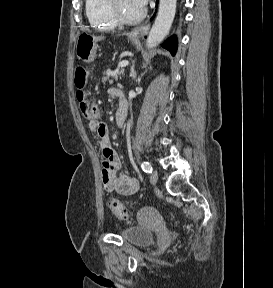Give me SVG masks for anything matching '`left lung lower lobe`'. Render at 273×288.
<instances>
[{"label": "left lung lower lobe", "mask_w": 273, "mask_h": 288, "mask_svg": "<svg viewBox=\"0 0 273 288\" xmlns=\"http://www.w3.org/2000/svg\"><path fill=\"white\" fill-rule=\"evenodd\" d=\"M164 48L168 49L172 55H175L177 49V39L175 36L170 37L166 40L163 45Z\"/></svg>", "instance_id": "0a47b994"}]
</instances>
